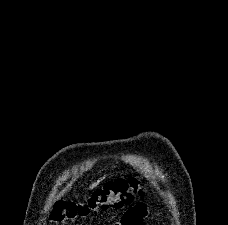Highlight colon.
I'll return each mask as SVG.
<instances>
[{
	"label": "colon",
	"instance_id": "5ec220e1",
	"mask_svg": "<svg viewBox=\"0 0 228 225\" xmlns=\"http://www.w3.org/2000/svg\"><path fill=\"white\" fill-rule=\"evenodd\" d=\"M136 196H144L140 181L135 177L121 178L99 188L85 201H57L51 212V222L68 224L103 208L122 209L131 205Z\"/></svg>",
	"mask_w": 228,
	"mask_h": 225
}]
</instances>
